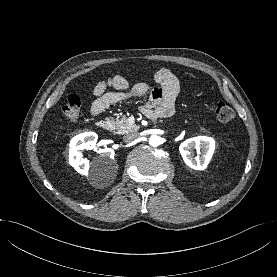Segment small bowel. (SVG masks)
Here are the masks:
<instances>
[{"mask_svg": "<svg viewBox=\"0 0 277 277\" xmlns=\"http://www.w3.org/2000/svg\"><path fill=\"white\" fill-rule=\"evenodd\" d=\"M154 79L160 86L153 90L145 82L131 84L121 75L98 82L93 89L95 100L90 107L91 114L98 115L113 104L150 93V101L142 107V112L150 118L172 116L180 90L179 81L168 69L158 70ZM110 88L114 91H108Z\"/></svg>", "mask_w": 277, "mask_h": 277, "instance_id": "small-bowel-1", "label": "small bowel"}]
</instances>
